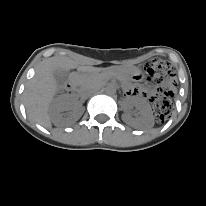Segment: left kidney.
<instances>
[{
	"label": "left kidney",
	"mask_w": 206,
	"mask_h": 206,
	"mask_svg": "<svg viewBox=\"0 0 206 206\" xmlns=\"http://www.w3.org/2000/svg\"><path fill=\"white\" fill-rule=\"evenodd\" d=\"M128 107H135L139 111V116L136 118L131 117L129 114H124L123 119L125 122L138 127L150 128L153 126V115L151 107L148 102L143 98H130L127 101Z\"/></svg>",
	"instance_id": "1"
}]
</instances>
